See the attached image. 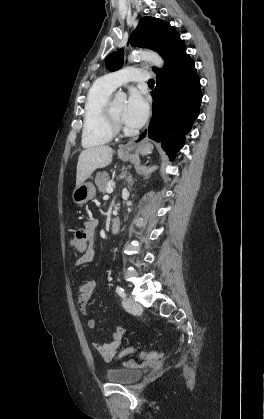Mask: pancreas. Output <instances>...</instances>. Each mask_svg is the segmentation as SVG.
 <instances>
[{
    "label": "pancreas",
    "instance_id": "1",
    "mask_svg": "<svg viewBox=\"0 0 264 419\" xmlns=\"http://www.w3.org/2000/svg\"><path fill=\"white\" fill-rule=\"evenodd\" d=\"M95 184L98 190L102 193L106 192V189L110 186V177L107 172H98L95 177Z\"/></svg>",
    "mask_w": 264,
    "mask_h": 419
}]
</instances>
